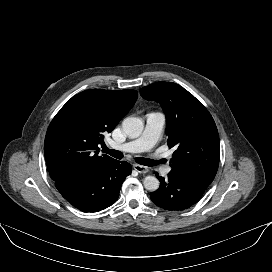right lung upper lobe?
Segmentation results:
<instances>
[{
    "label": "right lung upper lobe",
    "mask_w": 272,
    "mask_h": 272,
    "mask_svg": "<svg viewBox=\"0 0 272 272\" xmlns=\"http://www.w3.org/2000/svg\"><path fill=\"white\" fill-rule=\"evenodd\" d=\"M136 90L83 91L72 97L50 123L44 142L47 168L54 181L87 174L106 161L99 144L133 107Z\"/></svg>",
    "instance_id": "right-lung-upper-lobe-1"
}]
</instances>
